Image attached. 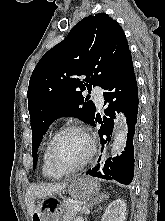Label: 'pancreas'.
<instances>
[{
	"instance_id": "obj_1",
	"label": "pancreas",
	"mask_w": 165,
	"mask_h": 221,
	"mask_svg": "<svg viewBox=\"0 0 165 221\" xmlns=\"http://www.w3.org/2000/svg\"><path fill=\"white\" fill-rule=\"evenodd\" d=\"M76 203L65 202V213L63 216V221H72L76 216L77 211L74 210Z\"/></svg>"
}]
</instances>
